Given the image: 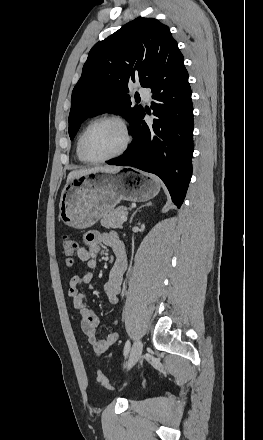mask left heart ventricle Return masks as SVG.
<instances>
[{"mask_svg":"<svg viewBox=\"0 0 263 440\" xmlns=\"http://www.w3.org/2000/svg\"><path fill=\"white\" fill-rule=\"evenodd\" d=\"M123 143V133L118 125L105 121L95 125L89 132L85 149L92 158H102L116 152Z\"/></svg>","mask_w":263,"mask_h":440,"instance_id":"obj_1","label":"left heart ventricle"}]
</instances>
